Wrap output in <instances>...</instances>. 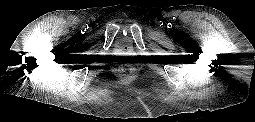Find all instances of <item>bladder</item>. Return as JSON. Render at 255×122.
I'll list each match as a JSON object with an SVG mask.
<instances>
[{"label": "bladder", "instance_id": "1", "mask_svg": "<svg viewBox=\"0 0 255 122\" xmlns=\"http://www.w3.org/2000/svg\"><path fill=\"white\" fill-rule=\"evenodd\" d=\"M131 45V39L128 35L120 33L115 41V46L119 49H125Z\"/></svg>", "mask_w": 255, "mask_h": 122}]
</instances>
